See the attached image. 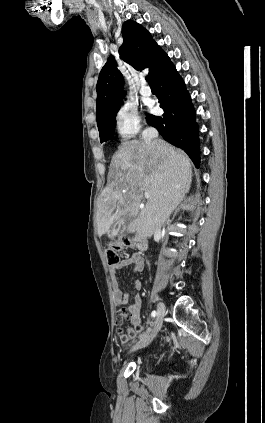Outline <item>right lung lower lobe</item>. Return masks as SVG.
Listing matches in <instances>:
<instances>
[{
  "label": "right lung lower lobe",
  "instance_id": "obj_1",
  "mask_svg": "<svg viewBox=\"0 0 265 423\" xmlns=\"http://www.w3.org/2000/svg\"><path fill=\"white\" fill-rule=\"evenodd\" d=\"M161 117L148 114L147 123L155 127L172 145L183 149L199 167L200 147L195 111L182 78L170 61L154 76Z\"/></svg>",
  "mask_w": 265,
  "mask_h": 423
}]
</instances>
